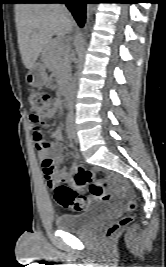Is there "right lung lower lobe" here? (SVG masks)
<instances>
[{
	"label": "right lung lower lobe",
	"mask_w": 166,
	"mask_h": 267,
	"mask_svg": "<svg viewBox=\"0 0 166 267\" xmlns=\"http://www.w3.org/2000/svg\"><path fill=\"white\" fill-rule=\"evenodd\" d=\"M87 0H25L20 3H65L80 27L85 23Z\"/></svg>",
	"instance_id": "1"
}]
</instances>
